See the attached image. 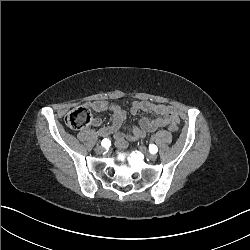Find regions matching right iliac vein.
<instances>
[{"label":"right iliac vein","mask_w":250,"mask_h":250,"mask_svg":"<svg viewBox=\"0 0 250 250\" xmlns=\"http://www.w3.org/2000/svg\"><path fill=\"white\" fill-rule=\"evenodd\" d=\"M104 150H105V149H104L102 146H96V148H95V151H96V153H98V154L103 153Z\"/></svg>","instance_id":"63e3f726"}]
</instances>
